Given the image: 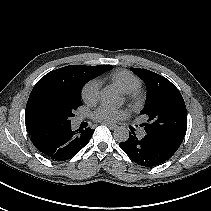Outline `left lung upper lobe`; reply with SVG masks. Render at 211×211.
Masks as SVG:
<instances>
[{"mask_svg":"<svg viewBox=\"0 0 211 211\" xmlns=\"http://www.w3.org/2000/svg\"><path fill=\"white\" fill-rule=\"evenodd\" d=\"M147 86V100L140 114L146 135L173 152L181 145L187 130V110L179 90L165 77L146 69L130 68Z\"/></svg>","mask_w":211,"mask_h":211,"instance_id":"obj_1","label":"left lung upper lobe"}]
</instances>
